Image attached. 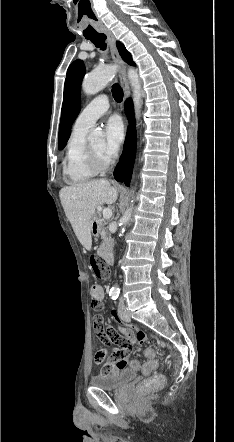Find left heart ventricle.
<instances>
[{"label":"left heart ventricle","instance_id":"1","mask_svg":"<svg viewBox=\"0 0 234 442\" xmlns=\"http://www.w3.org/2000/svg\"><path fill=\"white\" fill-rule=\"evenodd\" d=\"M92 148L97 152V154L100 156V157H102L103 159H107L108 157L106 156V154H105V151H104V147H105V143H104V141H98V142H95V143H93L92 145Z\"/></svg>","mask_w":234,"mask_h":442}]
</instances>
